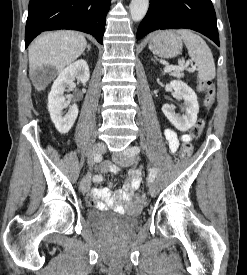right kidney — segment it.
Returning a JSON list of instances; mask_svg holds the SVG:
<instances>
[{"label":"right kidney","instance_id":"ca27d5eb","mask_svg":"<svg viewBox=\"0 0 247 275\" xmlns=\"http://www.w3.org/2000/svg\"><path fill=\"white\" fill-rule=\"evenodd\" d=\"M89 77L87 62L78 60L64 68L52 85L48 95V111L56 129L62 134L69 132L78 116L76 104L70 106L68 112L64 114L63 109L66 107L64 92L67 88L71 89L75 78L78 82L85 84Z\"/></svg>","mask_w":247,"mask_h":275}]
</instances>
